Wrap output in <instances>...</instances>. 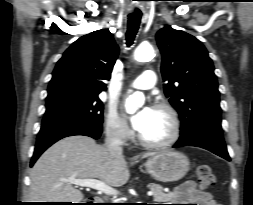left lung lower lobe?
<instances>
[{
  "label": "left lung lower lobe",
  "mask_w": 253,
  "mask_h": 205,
  "mask_svg": "<svg viewBox=\"0 0 253 205\" xmlns=\"http://www.w3.org/2000/svg\"><path fill=\"white\" fill-rule=\"evenodd\" d=\"M187 145L204 148L230 161L221 129L213 127L203 128L188 141L178 140L173 147L178 148Z\"/></svg>",
  "instance_id": "obj_1"
}]
</instances>
